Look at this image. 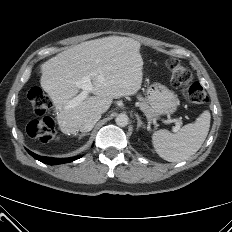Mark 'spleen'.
Here are the masks:
<instances>
[{
	"instance_id": "spleen-1",
	"label": "spleen",
	"mask_w": 232,
	"mask_h": 232,
	"mask_svg": "<svg viewBox=\"0 0 232 232\" xmlns=\"http://www.w3.org/2000/svg\"><path fill=\"white\" fill-rule=\"evenodd\" d=\"M211 115L204 111L194 123H189L173 134L161 129L152 135L157 154L166 161L180 162L194 155L204 143L210 128Z\"/></svg>"
}]
</instances>
